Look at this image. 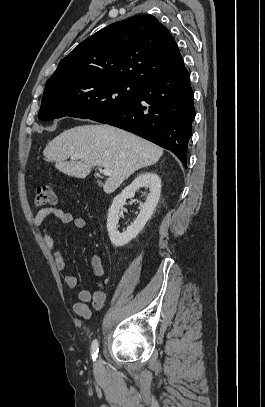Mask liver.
I'll return each mask as SVG.
<instances>
[{"label":"liver","instance_id":"liver-1","mask_svg":"<svg viewBox=\"0 0 265 407\" xmlns=\"http://www.w3.org/2000/svg\"><path fill=\"white\" fill-rule=\"evenodd\" d=\"M79 161L68 162L72 155ZM163 149L137 135L110 125H82L68 129L48 143L45 158L55 163L60 172L86 178L93 167L111 170L103 190L114 192L135 171L155 164Z\"/></svg>","mask_w":265,"mask_h":407}]
</instances>
